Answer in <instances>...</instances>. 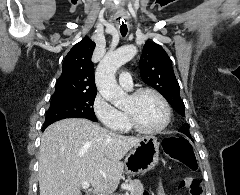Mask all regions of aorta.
Returning <instances> with one entry per match:
<instances>
[{
  "mask_svg": "<svg viewBox=\"0 0 240 195\" xmlns=\"http://www.w3.org/2000/svg\"><path fill=\"white\" fill-rule=\"evenodd\" d=\"M136 52L135 46H123V48H118L116 52H107L96 68L95 84L99 94L117 107H119L121 99L126 98L127 94L118 86L115 74L118 68L136 56Z\"/></svg>",
  "mask_w": 240,
  "mask_h": 195,
  "instance_id": "1",
  "label": "aorta"
}]
</instances>
